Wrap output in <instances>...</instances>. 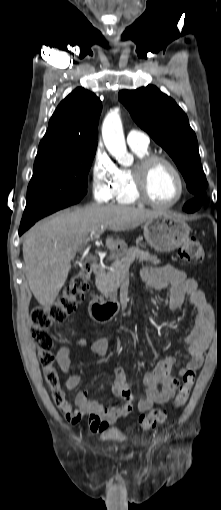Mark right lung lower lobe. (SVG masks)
Segmentation results:
<instances>
[{"mask_svg": "<svg viewBox=\"0 0 221 510\" xmlns=\"http://www.w3.org/2000/svg\"><path fill=\"white\" fill-rule=\"evenodd\" d=\"M59 209H46L44 206L34 203L31 205H26L23 218L19 228V235H22L26 230H28L36 221L39 219L57 211Z\"/></svg>", "mask_w": 221, "mask_h": 510, "instance_id": "obj_1", "label": "right lung lower lobe"}]
</instances>
